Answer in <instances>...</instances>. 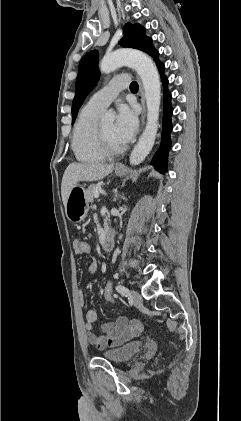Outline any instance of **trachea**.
I'll list each match as a JSON object with an SVG mask.
<instances>
[{
  "instance_id": "3493384b",
  "label": "trachea",
  "mask_w": 241,
  "mask_h": 421,
  "mask_svg": "<svg viewBox=\"0 0 241 421\" xmlns=\"http://www.w3.org/2000/svg\"><path fill=\"white\" fill-rule=\"evenodd\" d=\"M130 90H131V91L138 90V83H137L136 81H133V82L130 84Z\"/></svg>"
}]
</instances>
